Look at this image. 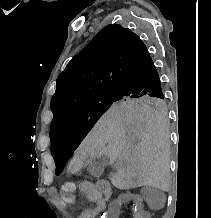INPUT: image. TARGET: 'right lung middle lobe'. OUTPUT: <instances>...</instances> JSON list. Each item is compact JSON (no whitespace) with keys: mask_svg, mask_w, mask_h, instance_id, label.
Segmentation results:
<instances>
[{"mask_svg":"<svg viewBox=\"0 0 211 218\" xmlns=\"http://www.w3.org/2000/svg\"><path fill=\"white\" fill-rule=\"evenodd\" d=\"M136 107L148 106L157 111H166L163 97H123L110 92L89 99L60 115L51 123V146L71 143L78 146L98 119L110 106ZM64 164L56 163V175H59Z\"/></svg>","mask_w":211,"mask_h":218,"instance_id":"right-lung-middle-lobe-1","label":"right lung middle lobe"}]
</instances>
